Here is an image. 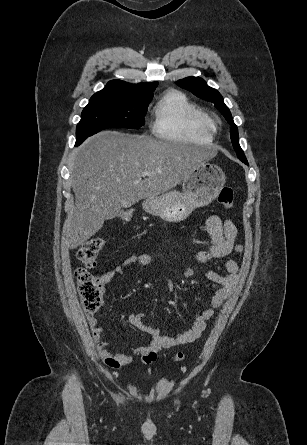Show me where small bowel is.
<instances>
[{
    "label": "small bowel",
    "instance_id": "small-bowel-1",
    "mask_svg": "<svg viewBox=\"0 0 307 445\" xmlns=\"http://www.w3.org/2000/svg\"><path fill=\"white\" fill-rule=\"evenodd\" d=\"M206 230L209 236V247L206 251L198 252L195 260L204 264L210 260L222 259L221 271L207 270L206 277L211 282L219 285V289L211 298L210 306L198 314L192 326L185 332L176 336H164L160 329L155 326L146 325L143 322L144 313H132L128 317L129 323L136 329L148 334L150 340L146 345L131 348L130 353H112L108 344L102 338V329L99 327L98 319L89 315L88 323L92 331L93 340L100 358L111 368L118 369L128 365L135 356L140 355L142 361L149 364L156 360L157 352L194 342L206 327V322L212 318L214 311L219 308L228 298L236 282L239 270L238 263L232 259H224L232 252H240L241 247L235 243L237 229L230 219L222 220L218 215H211L206 221ZM131 266H155V261L147 254H134L126 257L120 264L106 270L100 276V282L104 286L117 275L126 273Z\"/></svg>",
    "mask_w": 307,
    "mask_h": 445
}]
</instances>
